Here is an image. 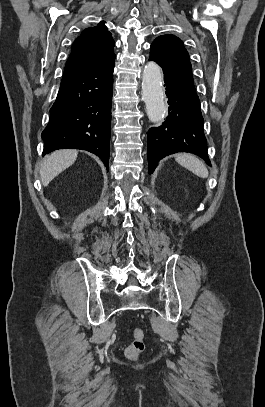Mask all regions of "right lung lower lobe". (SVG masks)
Segmentation results:
<instances>
[{
	"instance_id": "1",
	"label": "right lung lower lobe",
	"mask_w": 265,
	"mask_h": 407,
	"mask_svg": "<svg viewBox=\"0 0 265 407\" xmlns=\"http://www.w3.org/2000/svg\"><path fill=\"white\" fill-rule=\"evenodd\" d=\"M114 60L115 54L62 79L41 135L43 155L62 148L87 150L109 169Z\"/></svg>"
}]
</instances>
